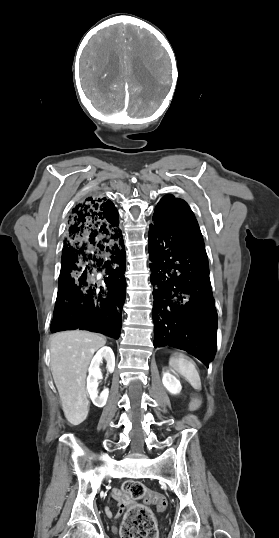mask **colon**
Returning a JSON list of instances; mask_svg holds the SVG:
<instances>
[{"mask_svg": "<svg viewBox=\"0 0 279 538\" xmlns=\"http://www.w3.org/2000/svg\"><path fill=\"white\" fill-rule=\"evenodd\" d=\"M123 489L134 500H144L154 504L158 511L167 507V499L163 494L148 491L145 486L136 481L126 482ZM122 538H156L155 523L150 512L145 508H133L121 527Z\"/></svg>", "mask_w": 279, "mask_h": 538, "instance_id": "colon-1", "label": "colon"}]
</instances>
